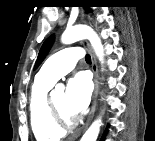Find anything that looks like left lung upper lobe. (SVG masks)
I'll return each instance as SVG.
<instances>
[{"label":"left lung upper lobe","mask_w":155,"mask_h":141,"mask_svg":"<svg viewBox=\"0 0 155 141\" xmlns=\"http://www.w3.org/2000/svg\"><path fill=\"white\" fill-rule=\"evenodd\" d=\"M53 36H50L49 38L46 39V41L43 43L38 58L36 60L35 63V68L42 62L44 56L47 54L49 48L51 47L52 43H53Z\"/></svg>","instance_id":"left-lung-upper-lobe-1"}]
</instances>
